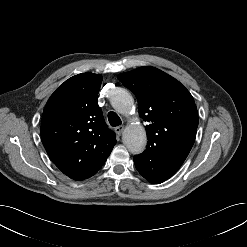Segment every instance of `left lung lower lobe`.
<instances>
[{"label": "left lung lower lobe", "mask_w": 247, "mask_h": 247, "mask_svg": "<svg viewBox=\"0 0 247 247\" xmlns=\"http://www.w3.org/2000/svg\"><path fill=\"white\" fill-rule=\"evenodd\" d=\"M189 153L181 149L163 152L146 151L134 156L139 173L151 183H162L174 175Z\"/></svg>", "instance_id": "1"}]
</instances>
